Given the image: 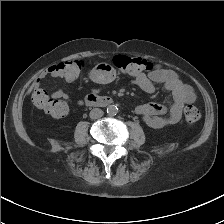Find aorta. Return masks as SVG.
Listing matches in <instances>:
<instances>
[{"label":"aorta","instance_id":"obj_1","mask_svg":"<svg viewBox=\"0 0 224 224\" xmlns=\"http://www.w3.org/2000/svg\"><path fill=\"white\" fill-rule=\"evenodd\" d=\"M118 113V107L116 105H109L107 107V114L109 116H115Z\"/></svg>","mask_w":224,"mask_h":224}]
</instances>
